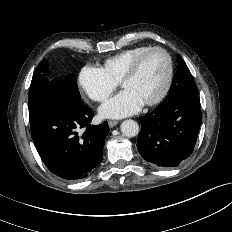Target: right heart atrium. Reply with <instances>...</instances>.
I'll use <instances>...</instances> for the list:
<instances>
[{"mask_svg":"<svg viewBox=\"0 0 232 232\" xmlns=\"http://www.w3.org/2000/svg\"><path fill=\"white\" fill-rule=\"evenodd\" d=\"M78 84L82 92L95 102L105 101L117 87L102 68L91 65L80 70Z\"/></svg>","mask_w":232,"mask_h":232,"instance_id":"1","label":"right heart atrium"}]
</instances>
